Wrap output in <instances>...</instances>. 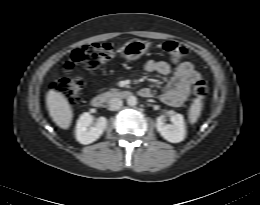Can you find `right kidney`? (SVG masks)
Returning a JSON list of instances; mask_svg holds the SVG:
<instances>
[{
    "mask_svg": "<svg viewBox=\"0 0 260 205\" xmlns=\"http://www.w3.org/2000/svg\"><path fill=\"white\" fill-rule=\"evenodd\" d=\"M93 117L90 113H83L77 121L75 135L77 141L81 144L88 145L96 141L104 132L107 126L105 117H100L97 120L95 127H91Z\"/></svg>",
    "mask_w": 260,
    "mask_h": 205,
    "instance_id": "ca27d5eb",
    "label": "right kidney"
}]
</instances>
